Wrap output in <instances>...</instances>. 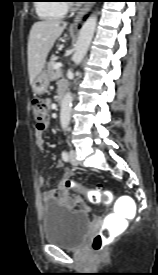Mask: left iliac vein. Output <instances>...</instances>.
Masks as SVG:
<instances>
[{
    "label": "left iliac vein",
    "mask_w": 158,
    "mask_h": 275,
    "mask_svg": "<svg viewBox=\"0 0 158 275\" xmlns=\"http://www.w3.org/2000/svg\"><path fill=\"white\" fill-rule=\"evenodd\" d=\"M69 160H70V163H71L72 165L77 166V165L79 164V162H78L77 159H76V152H75L74 150H71V151L69 152Z\"/></svg>",
    "instance_id": "obj_1"
}]
</instances>
